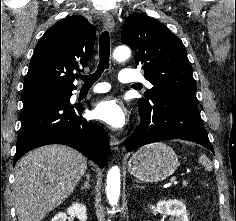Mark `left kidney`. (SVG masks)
I'll return each mask as SVG.
<instances>
[{
  "label": "left kidney",
  "instance_id": "1",
  "mask_svg": "<svg viewBox=\"0 0 236 221\" xmlns=\"http://www.w3.org/2000/svg\"><path fill=\"white\" fill-rule=\"evenodd\" d=\"M150 209L153 213L171 216V221H189L186 206L180 200H161L156 206H151Z\"/></svg>",
  "mask_w": 236,
  "mask_h": 221
}]
</instances>
